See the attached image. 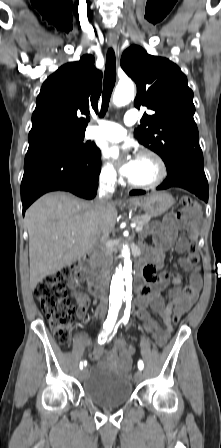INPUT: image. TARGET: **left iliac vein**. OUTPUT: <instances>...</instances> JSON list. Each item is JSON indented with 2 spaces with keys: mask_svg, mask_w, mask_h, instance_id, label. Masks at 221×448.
<instances>
[{
  "mask_svg": "<svg viewBox=\"0 0 221 448\" xmlns=\"http://www.w3.org/2000/svg\"><path fill=\"white\" fill-rule=\"evenodd\" d=\"M134 378H135V381H136V382H140V381H142V379H143V373H142V371H141V370H138V371L135 373Z\"/></svg>",
  "mask_w": 221,
  "mask_h": 448,
  "instance_id": "4c4485c4",
  "label": "left iliac vein"
}]
</instances>
